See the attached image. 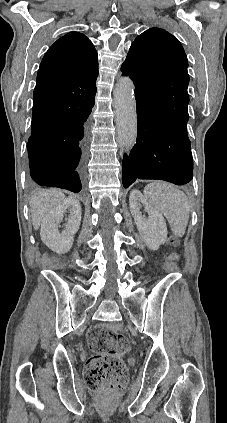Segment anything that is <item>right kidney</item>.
Listing matches in <instances>:
<instances>
[{
    "instance_id": "ca27d5eb",
    "label": "right kidney",
    "mask_w": 227,
    "mask_h": 423,
    "mask_svg": "<svg viewBox=\"0 0 227 423\" xmlns=\"http://www.w3.org/2000/svg\"><path fill=\"white\" fill-rule=\"evenodd\" d=\"M65 211H70L65 229L60 231L59 223L64 217ZM81 223V206L77 198L69 196L61 204L53 206L52 210L47 211L41 221L40 235L43 243L56 251V253H67L70 251L74 233L78 231Z\"/></svg>"
}]
</instances>
